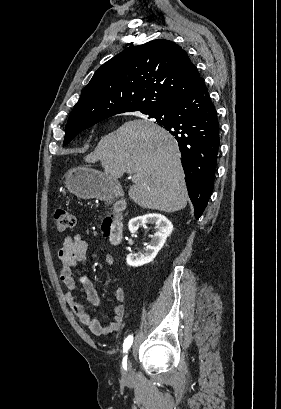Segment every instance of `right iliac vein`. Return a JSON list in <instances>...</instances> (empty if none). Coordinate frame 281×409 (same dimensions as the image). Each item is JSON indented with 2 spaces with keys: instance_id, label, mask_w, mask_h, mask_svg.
<instances>
[{
  "instance_id": "right-iliac-vein-1",
  "label": "right iliac vein",
  "mask_w": 281,
  "mask_h": 409,
  "mask_svg": "<svg viewBox=\"0 0 281 409\" xmlns=\"http://www.w3.org/2000/svg\"><path fill=\"white\" fill-rule=\"evenodd\" d=\"M125 361H127V366L129 367L130 362H129V360H128V357L125 358Z\"/></svg>"
}]
</instances>
